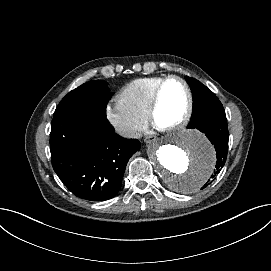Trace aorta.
Returning <instances> with one entry per match:
<instances>
[{
    "label": "aorta",
    "mask_w": 271,
    "mask_h": 271,
    "mask_svg": "<svg viewBox=\"0 0 271 271\" xmlns=\"http://www.w3.org/2000/svg\"><path fill=\"white\" fill-rule=\"evenodd\" d=\"M148 154L155 171L173 191L195 193L211 177L216 153L210 141L199 131L172 132L151 143Z\"/></svg>",
    "instance_id": "762f6f07"
}]
</instances>
